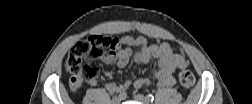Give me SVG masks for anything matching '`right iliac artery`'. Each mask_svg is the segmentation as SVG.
Masks as SVG:
<instances>
[{"label": "right iliac artery", "instance_id": "right-iliac-artery-1", "mask_svg": "<svg viewBox=\"0 0 252 104\" xmlns=\"http://www.w3.org/2000/svg\"><path fill=\"white\" fill-rule=\"evenodd\" d=\"M127 97V94L125 93V92H121L120 94H119V98L120 99H125Z\"/></svg>", "mask_w": 252, "mask_h": 104}]
</instances>
